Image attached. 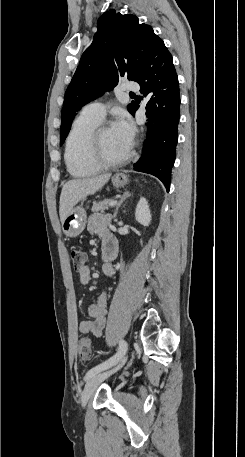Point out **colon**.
I'll list each match as a JSON object with an SVG mask.
<instances>
[{"instance_id": "colon-1", "label": "colon", "mask_w": 245, "mask_h": 457, "mask_svg": "<svg viewBox=\"0 0 245 457\" xmlns=\"http://www.w3.org/2000/svg\"><path fill=\"white\" fill-rule=\"evenodd\" d=\"M69 257L75 270L79 271L84 266L86 254L82 250L78 248H71L69 250ZM76 350L81 359H89L91 356L90 339L86 336H80L76 343Z\"/></svg>"}]
</instances>
